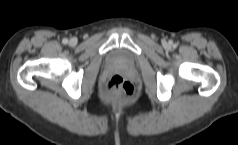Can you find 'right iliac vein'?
Instances as JSON below:
<instances>
[{
  "mask_svg": "<svg viewBox=\"0 0 238 145\" xmlns=\"http://www.w3.org/2000/svg\"><path fill=\"white\" fill-rule=\"evenodd\" d=\"M69 44L71 46H74L76 44V39L75 38L70 39Z\"/></svg>",
  "mask_w": 238,
  "mask_h": 145,
  "instance_id": "obj_1",
  "label": "right iliac vein"
}]
</instances>
